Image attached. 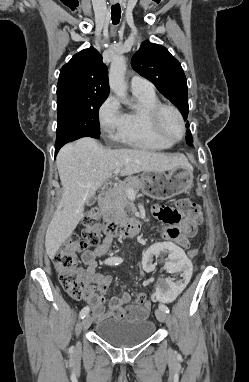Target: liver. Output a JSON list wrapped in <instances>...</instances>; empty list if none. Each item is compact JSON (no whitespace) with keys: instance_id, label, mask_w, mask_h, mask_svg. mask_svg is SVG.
<instances>
[{"instance_id":"1","label":"liver","mask_w":249,"mask_h":382,"mask_svg":"<svg viewBox=\"0 0 249 382\" xmlns=\"http://www.w3.org/2000/svg\"><path fill=\"white\" fill-rule=\"evenodd\" d=\"M56 164L63 194L45 236L50 259H54L60 246L83 218L87 200L94 197L115 169H120L121 176H126L141 171L165 172L179 166L192 168L183 155L140 149H109L90 137L63 146Z\"/></svg>"}]
</instances>
